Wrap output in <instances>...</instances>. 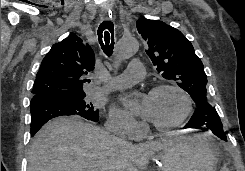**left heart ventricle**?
<instances>
[{"label": "left heart ventricle", "instance_id": "obj_1", "mask_svg": "<svg viewBox=\"0 0 245 171\" xmlns=\"http://www.w3.org/2000/svg\"><path fill=\"white\" fill-rule=\"evenodd\" d=\"M152 110L151 121L166 125L177 120L184 110L182 97L173 90H165L149 95Z\"/></svg>", "mask_w": 245, "mask_h": 171}]
</instances>
